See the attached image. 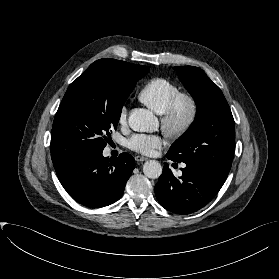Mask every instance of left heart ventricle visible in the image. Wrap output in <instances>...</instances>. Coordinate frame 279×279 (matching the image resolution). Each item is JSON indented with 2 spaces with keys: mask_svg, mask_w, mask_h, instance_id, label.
<instances>
[{
  "mask_svg": "<svg viewBox=\"0 0 279 279\" xmlns=\"http://www.w3.org/2000/svg\"><path fill=\"white\" fill-rule=\"evenodd\" d=\"M187 114V106L185 104H181L179 107V117L183 118Z\"/></svg>",
  "mask_w": 279,
  "mask_h": 279,
  "instance_id": "1",
  "label": "left heart ventricle"
}]
</instances>
